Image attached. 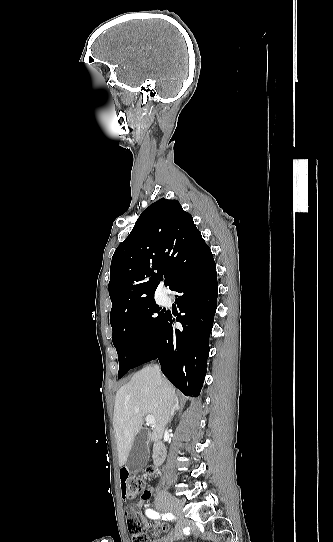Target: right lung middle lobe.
Here are the masks:
<instances>
[{"instance_id":"1","label":"right lung middle lobe","mask_w":333,"mask_h":542,"mask_svg":"<svg viewBox=\"0 0 333 542\" xmlns=\"http://www.w3.org/2000/svg\"><path fill=\"white\" fill-rule=\"evenodd\" d=\"M167 313L155 302L142 305L111 319L113 344L118 353V378L124 376L152 347Z\"/></svg>"}]
</instances>
